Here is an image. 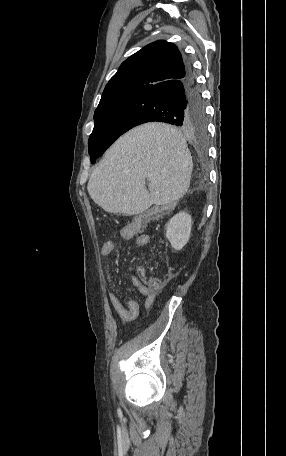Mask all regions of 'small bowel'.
<instances>
[{"mask_svg": "<svg viewBox=\"0 0 286 456\" xmlns=\"http://www.w3.org/2000/svg\"><path fill=\"white\" fill-rule=\"evenodd\" d=\"M121 237L124 240H128L133 237L124 233L122 230L120 233ZM149 236L147 234H140L135 238V244L137 247H145L148 244ZM116 249V243L112 240L105 241L101 247V255L104 257L110 256ZM132 284L137 288L138 292L144 297V308L146 311H149L155 301L156 291L151 290L146 283L139 282L136 276L132 277ZM109 302L117 314L120 320L128 322L135 320L140 312V305L134 299H129L124 304L118 296L110 292L109 293Z\"/></svg>", "mask_w": 286, "mask_h": 456, "instance_id": "c3829d8e", "label": "small bowel"}]
</instances>
